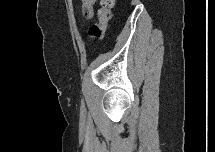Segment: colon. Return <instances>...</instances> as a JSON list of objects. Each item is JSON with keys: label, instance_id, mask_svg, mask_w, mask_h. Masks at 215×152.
<instances>
[{"label": "colon", "instance_id": "1", "mask_svg": "<svg viewBox=\"0 0 215 152\" xmlns=\"http://www.w3.org/2000/svg\"><path fill=\"white\" fill-rule=\"evenodd\" d=\"M94 0H83L81 5L82 14L86 18H90L93 13ZM114 5L113 0H100L99 9L97 11L98 21L89 29V35L92 39H102L111 18V10Z\"/></svg>", "mask_w": 215, "mask_h": 152}]
</instances>
